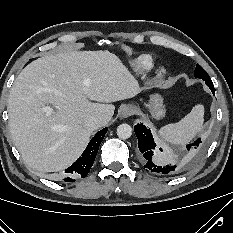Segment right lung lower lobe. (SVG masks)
I'll list each match as a JSON object with an SVG mask.
<instances>
[{"label":"right lung lower lobe","instance_id":"98d812e1","mask_svg":"<svg viewBox=\"0 0 233 233\" xmlns=\"http://www.w3.org/2000/svg\"><path fill=\"white\" fill-rule=\"evenodd\" d=\"M107 130L108 128H104L97 132L89 142L81 157L65 170L66 175L64 180L66 182H74L75 178H84L89 173Z\"/></svg>","mask_w":233,"mask_h":233}]
</instances>
